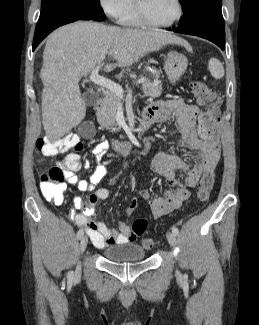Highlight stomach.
Returning a JSON list of instances; mask_svg holds the SVG:
<instances>
[{
    "label": "stomach",
    "mask_w": 259,
    "mask_h": 325,
    "mask_svg": "<svg viewBox=\"0 0 259 325\" xmlns=\"http://www.w3.org/2000/svg\"><path fill=\"white\" fill-rule=\"evenodd\" d=\"M187 58L177 51H170L164 64V70L171 83L176 82L186 71Z\"/></svg>",
    "instance_id": "0dacf381"
}]
</instances>
